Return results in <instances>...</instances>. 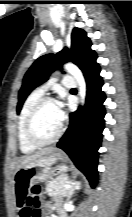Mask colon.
Listing matches in <instances>:
<instances>
[{"mask_svg": "<svg viewBox=\"0 0 132 217\" xmlns=\"http://www.w3.org/2000/svg\"><path fill=\"white\" fill-rule=\"evenodd\" d=\"M40 187L35 185L27 193L26 204L31 210V217H41Z\"/></svg>", "mask_w": 132, "mask_h": 217, "instance_id": "5ec220e1", "label": "colon"}]
</instances>
